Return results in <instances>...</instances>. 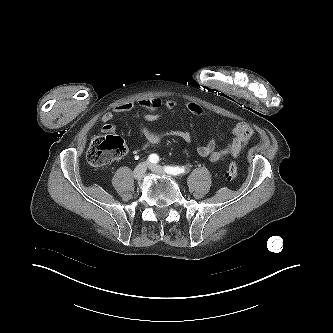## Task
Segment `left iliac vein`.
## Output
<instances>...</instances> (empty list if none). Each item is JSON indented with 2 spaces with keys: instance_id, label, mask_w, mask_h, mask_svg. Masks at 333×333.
<instances>
[{
  "instance_id": "left-iliac-vein-1",
  "label": "left iliac vein",
  "mask_w": 333,
  "mask_h": 333,
  "mask_svg": "<svg viewBox=\"0 0 333 333\" xmlns=\"http://www.w3.org/2000/svg\"><path fill=\"white\" fill-rule=\"evenodd\" d=\"M149 169L156 173V174H159V175H167L166 172H165V169L160 166V165H157V164H149ZM169 176V175H168Z\"/></svg>"
}]
</instances>
